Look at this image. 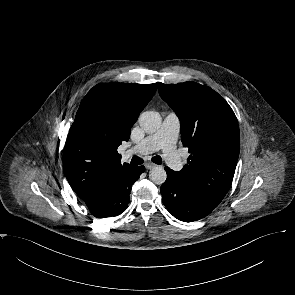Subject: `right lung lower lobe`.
I'll list each match as a JSON object with an SVG mask.
<instances>
[{"label": "right lung lower lobe", "instance_id": "98d812e1", "mask_svg": "<svg viewBox=\"0 0 295 295\" xmlns=\"http://www.w3.org/2000/svg\"><path fill=\"white\" fill-rule=\"evenodd\" d=\"M144 171V166H130L98 181L83 199L91 214L105 218L124 212L130 202L131 187Z\"/></svg>", "mask_w": 295, "mask_h": 295}]
</instances>
